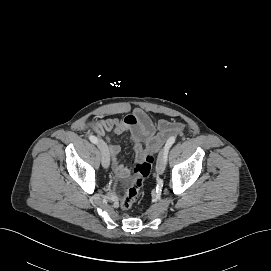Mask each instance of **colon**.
I'll use <instances>...</instances> for the list:
<instances>
[{
  "mask_svg": "<svg viewBox=\"0 0 271 271\" xmlns=\"http://www.w3.org/2000/svg\"><path fill=\"white\" fill-rule=\"evenodd\" d=\"M153 163L154 157L152 155H148L138 161L135 165L131 185L121 200V208L123 210H130L135 204L144 181L150 175Z\"/></svg>",
  "mask_w": 271,
  "mask_h": 271,
  "instance_id": "colon-1",
  "label": "colon"
}]
</instances>
